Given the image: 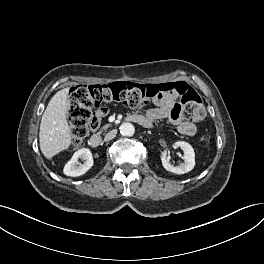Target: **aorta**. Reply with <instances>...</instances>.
<instances>
[{"instance_id":"obj_1","label":"aorta","mask_w":264,"mask_h":264,"mask_svg":"<svg viewBox=\"0 0 264 264\" xmlns=\"http://www.w3.org/2000/svg\"><path fill=\"white\" fill-rule=\"evenodd\" d=\"M120 133L123 135V136H133L134 133H135V128L134 126L131 124V123H123L121 126H120Z\"/></svg>"}]
</instances>
